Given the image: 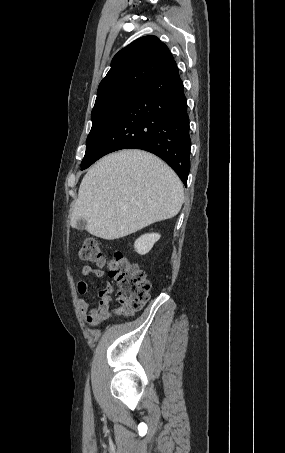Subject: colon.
Returning <instances> with one entry per match:
<instances>
[{"mask_svg": "<svg viewBox=\"0 0 285 453\" xmlns=\"http://www.w3.org/2000/svg\"><path fill=\"white\" fill-rule=\"evenodd\" d=\"M79 257L84 262L107 265L109 274L117 285V301L125 312L138 311L146 304L149 299L150 282L145 272L122 252L115 251L107 259L99 240L89 237L83 242Z\"/></svg>", "mask_w": 285, "mask_h": 453, "instance_id": "1", "label": "colon"}]
</instances>
